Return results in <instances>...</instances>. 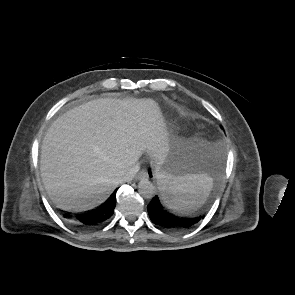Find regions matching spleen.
Masks as SVG:
<instances>
[{
    "label": "spleen",
    "instance_id": "1",
    "mask_svg": "<svg viewBox=\"0 0 295 295\" xmlns=\"http://www.w3.org/2000/svg\"><path fill=\"white\" fill-rule=\"evenodd\" d=\"M157 178L164 203L181 214L200 208L212 187V178L207 174H158Z\"/></svg>",
    "mask_w": 295,
    "mask_h": 295
}]
</instances>
